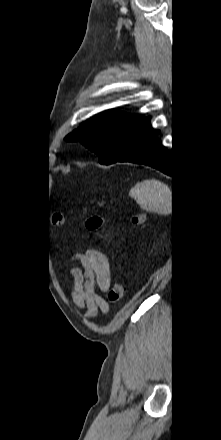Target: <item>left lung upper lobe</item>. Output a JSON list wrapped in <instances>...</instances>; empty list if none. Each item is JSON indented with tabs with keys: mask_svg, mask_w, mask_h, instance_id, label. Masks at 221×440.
<instances>
[{
	"mask_svg": "<svg viewBox=\"0 0 221 440\" xmlns=\"http://www.w3.org/2000/svg\"><path fill=\"white\" fill-rule=\"evenodd\" d=\"M143 119L140 115L106 110L67 135L65 140L81 142L98 155L101 164H112L123 156Z\"/></svg>",
	"mask_w": 221,
	"mask_h": 440,
	"instance_id": "1",
	"label": "left lung upper lobe"
}]
</instances>
